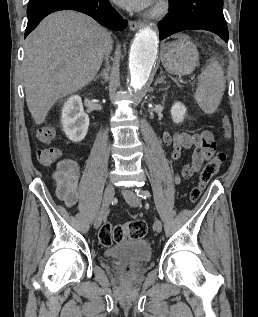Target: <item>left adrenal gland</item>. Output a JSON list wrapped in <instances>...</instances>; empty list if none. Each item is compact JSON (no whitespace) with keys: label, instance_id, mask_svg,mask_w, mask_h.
Returning a JSON list of instances; mask_svg holds the SVG:
<instances>
[{"label":"left adrenal gland","instance_id":"obj_1","mask_svg":"<svg viewBox=\"0 0 258 317\" xmlns=\"http://www.w3.org/2000/svg\"><path fill=\"white\" fill-rule=\"evenodd\" d=\"M165 76H158V78H156L154 84L156 86V84H158V82H166V80H164Z\"/></svg>","mask_w":258,"mask_h":317}]
</instances>
